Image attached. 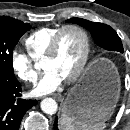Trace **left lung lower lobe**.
Returning a JSON list of instances; mask_svg holds the SVG:
<instances>
[{
  "instance_id": "left-lung-lower-lobe-1",
  "label": "left lung lower lobe",
  "mask_w": 130,
  "mask_h": 130,
  "mask_svg": "<svg viewBox=\"0 0 130 130\" xmlns=\"http://www.w3.org/2000/svg\"><path fill=\"white\" fill-rule=\"evenodd\" d=\"M93 82H94V77H92L91 75L87 76L83 82L84 89H89L91 85L93 84ZM57 122H58V119L56 118L54 122V130H58Z\"/></svg>"
}]
</instances>
